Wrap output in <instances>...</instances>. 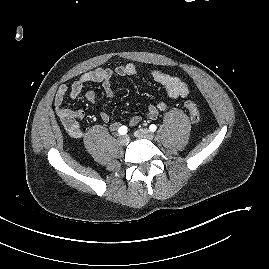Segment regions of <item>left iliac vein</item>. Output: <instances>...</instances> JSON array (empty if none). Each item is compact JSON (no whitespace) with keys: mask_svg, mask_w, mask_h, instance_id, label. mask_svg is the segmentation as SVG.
Listing matches in <instances>:
<instances>
[{"mask_svg":"<svg viewBox=\"0 0 269 269\" xmlns=\"http://www.w3.org/2000/svg\"><path fill=\"white\" fill-rule=\"evenodd\" d=\"M135 136L137 138H146V139H153L154 134L149 129H139L135 131Z\"/></svg>","mask_w":269,"mask_h":269,"instance_id":"4c4485c4","label":"left iliac vein"}]
</instances>
